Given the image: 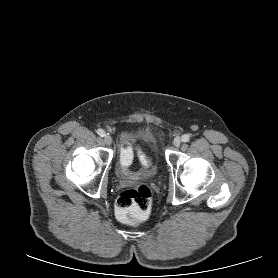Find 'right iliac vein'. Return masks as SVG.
Masks as SVG:
<instances>
[{"mask_svg": "<svg viewBox=\"0 0 278 278\" xmlns=\"http://www.w3.org/2000/svg\"><path fill=\"white\" fill-rule=\"evenodd\" d=\"M104 142L107 144V145H111L112 144V138L110 135H105L104 136Z\"/></svg>", "mask_w": 278, "mask_h": 278, "instance_id": "63e3f726", "label": "right iliac vein"}]
</instances>
